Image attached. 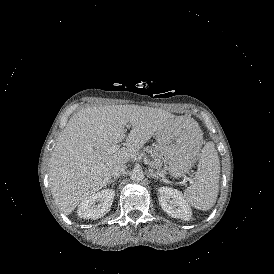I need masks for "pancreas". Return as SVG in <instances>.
<instances>
[{
  "mask_svg": "<svg viewBox=\"0 0 274 274\" xmlns=\"http://www.w3.org/2000/svg\"><path fill=\"white\" fill-rule=\"evenodd\" d=\"M146 151L150 154L151 157L155 158V161L152 162V165L154 167H160L161 165V159L159 158V155L156 150H152L150 148H146Z\"/></svg>",
  "mask_w": 274,
  "mask_h": 274,
  "instance_id": "cf45deb5",
  "label": "pancreas"
}]
</instances>
